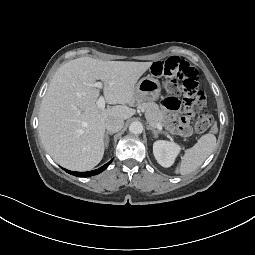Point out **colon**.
I'll list each match as a JSON object with an SVG mask.
<instances>
[{"label":"colon","instance_id":"1","mask_svg":"<svg viewBox=\"0 0 255 255\" xmlns=\"http://www.w3.org/2000/svg\"><path fill=\"white\" fill-rule=\"evenodd\" d=\"M151 71L153 75L164 78V87L170 95H183V116L189 117L193 112L202 109L206 103V94L200 90L196 70L186 61L178 57H170L155 62ZM214 128V118L204 112L198 116L195 129L202 133Z\"/></svg>","mask_w":255,"mask_h":255}]
</instances>
